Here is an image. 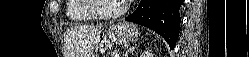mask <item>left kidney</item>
I'll return each mask as SVG.
<instances>
[{
  "label": "left kidney",
  "instance_id": "obj_1",
  "mask_svg": "<svg viewBox=\"0 0 249 57\" xmlns=\"http://www.w3.org/2000/svg\"><path fill=\"white\" fill-rule=\"evenodd\" d=\"M140 57H154L153 53L151 51H144Z\"/></svg>",
  "mask_w": 249,
  "mask_h": 57
}]
</instances>
